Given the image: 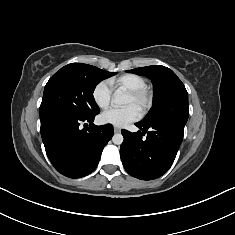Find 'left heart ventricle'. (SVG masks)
Masks as SVG:
<instances>
[{
	"mask_svg": "<svg viewBox=\"0 0 235 235\" xmlns=\"http://www.w3.org/2000/svg\"><path fill=\"white\" fill-rule=\"evenodd\" d=\"M125 105H134L139 109V103L132 98L130 95H127L126 99H125Z\"/></svg>",
	"mask_w": 235,
	"mask_h": 235,
	"instance_id": "1",
	"label": "left heart ventricle"
}]
</instances>
